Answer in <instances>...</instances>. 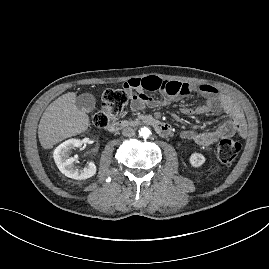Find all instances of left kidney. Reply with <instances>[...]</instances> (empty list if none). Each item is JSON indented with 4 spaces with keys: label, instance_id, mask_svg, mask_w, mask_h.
Masks as SVG:
<instances>
[{
    "label": "left kidney",
    "instance_id": "5707ae66",
    "mask_svg": "<svg viewBox=\"0 0 269 269\" xmlns=\"http://www.w3.org/2000/svg\"><path fill=\"white\" fill-rule=\"evenodd\" d=\"M189 163L193 167H200L205 163V157L200 153H192L189 157Z\"/></svg>",
    "mask_w": 269,
    "mask_h": 269
}]
</instances>
